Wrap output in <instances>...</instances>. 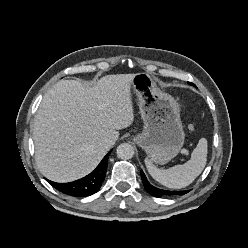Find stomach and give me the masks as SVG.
<instances>
[{
  "instance_id": "1",
  "label": "stomach",
  "mask_w": 248,
  "mask_h": 248,
  "mask_svg": "<svg viewBox=\"0 0 248 248\" xmlns=\"http://www.w3.org/2000/svg\"><path fill=\"white\" fill-rule=\"evenodd\" d=\"M131 86L138 98L143 132L134 137L147 153L149 160L166 164L181 150L185 133L180 119L178 101L160 90L145 72L135 74Z\"/></svg>"
}]
</instances>
